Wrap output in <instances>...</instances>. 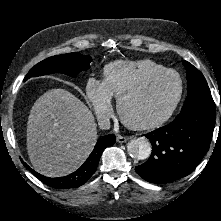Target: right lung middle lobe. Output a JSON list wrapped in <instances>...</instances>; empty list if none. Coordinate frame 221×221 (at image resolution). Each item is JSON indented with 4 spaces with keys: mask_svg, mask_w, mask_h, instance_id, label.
I'll list each match as a JSON object with an SVG mask.
<instances>
[{
    "mask_svg": "<svg viewBox=\"0 0 221 221\" xmlns=\"http://www.w3.org/2000/svg\"><path fill=\"white\" fill-rule=\"evenodd\" d=\"M91 60L90 56H83L79 52L53 56L36 64L25 76L24 81L31 77L59 72L75 77L89 68Z\"/></svg>",
    "mask_w": 221,
    "mask_h": 221,
    "instance_id": "right-lung-middle-lobe-1",
    "label": "right lung middle lobe"
}]
</instances>
